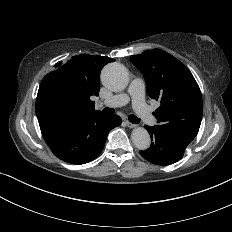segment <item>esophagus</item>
Returning <instances> with one entry per match:
<instances>
[{"label":"esophagus","mask_w":232,"mask_h":232,"mask_svg":"<svg viewBox=\"0 0 232 232\" xmlns=\"http://www.w3.org/2000/svg\"><path fill=\"white\" fill-rule=\"evenodd\" d=\"M126 125L129 127V128H134L136 125L129 122V121H126Z\"/></svg>","instance_id":"1"}]
</instances>
